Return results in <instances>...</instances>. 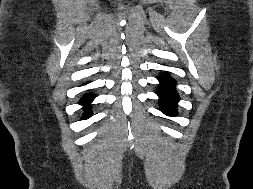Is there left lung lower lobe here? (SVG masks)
Listing matches in <instances>:
<instances>
[{
  "label": "left lung lower lobe",
  "instance_id": "obj_1",
  "mask_svg": "<svg viewBox=\"0 0 253 189\" xmlns=\"http://www.w3.org/2000/svg\"><path fill=\"white\" fill-rule=\"evenodd\" d=\"M160 84L157 91L159 96L161 110L168 116H176L177 114V103L179 101V95L175 92L174 85L175 81L168 75L162 74L158 78Z\"/></svg>",
  "mask_w": 253,
  "mask_h": 189
}]
</instances>
